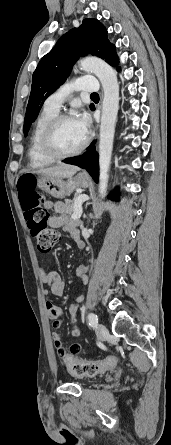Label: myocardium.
I'll list each match as a JSON object with an SVG mask.
<instances>
[{
    "mask_svg": "<svg viewBox=\"0 0 171 445\" xmlns=\"http://www.w3.org/2000/svg\"><path fill=\"white\" fill-rule=\"evenodd\" d=\"M71 119H76V118L72 114H67V113L57 114L48 122V124L44 128L41 137V151L46 157L52 160H61L79 155L87 148L90 140L88 134L86 135V138L83 141V143L75 150L62 152L54 146L53 138L56 129L62 122Z\"/></svg>",
    "mask_w": 171,
    "mask_h": 445,
    "instance_id": "myocardium-1",
    "label": "myocardium"
}]
</instances>
